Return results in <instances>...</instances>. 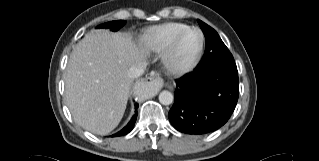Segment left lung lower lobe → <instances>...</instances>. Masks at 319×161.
Instances as JSON below:
<instances>
[{"instance_id":"obj_1","label":"left lung lower lobe","mask_w":319,"mask_h":161,"mask_svg":"<svg viewBox=\"0 0 319 161\" xmlns=\"http://www.w3.org/2000/svg\"><path fill=\"white\" fill-rule=\"evenodd\" d=\"M176 84L174 105L168 117L182 133L201 135L219 129L228 121L238 101L237 71L196 70Z\"/></svg>"}]
</instances>
